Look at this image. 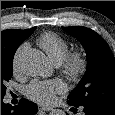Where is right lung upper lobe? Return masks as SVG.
I'll return each instance as SVG.
<instances>
[{
	"label": "right lung upper lobe",
	"mask_w": 115,
	"mask_h": 115,
	"mask_svg": "<svg viewBox=\"0 0 115 115\" xmlns=\"http://www.w3.org/2000/svg\"><path fill=\"white\" fill-rule=\"evenodd\" d=\"M35 28L1 31V55H14L19 45L33 33Z\"/></svg>",
	"instance_id": "cb5924a9"
}]
</instances>
